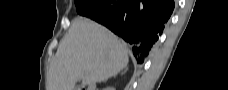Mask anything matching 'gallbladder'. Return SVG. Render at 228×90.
<instances>
[{"mask_svg": "<svg viewBox=\"0 0 228 90\" xmlns=\"http://www.w3.org/2000/svg\"><path fill=\"white\" fill-rule=\"evenodd\" d=\"M76 90H81V88H76Z\"/></svg>", "mask_w": 228, "mask_h": 90, "instance_id": "1", "label": "gallbladder"}]
</instances>
